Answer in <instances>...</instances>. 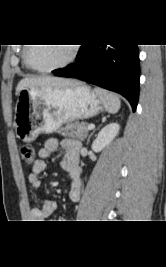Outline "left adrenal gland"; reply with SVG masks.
<instances>
[{
  "mask_svg": "<svg viewBox=\"0 0 166 267\" xmlns=\"http://www.w3.org/2000/svg\"><path fill=\"white\" fill-rule=\"evenodd\" d=\"M95 131H96V130H93V132L89 135V137H88V139H87V144L89 143V140H90L91 136L94 134Z\"/></svg>",
  "mask_w": 166,
  "mask_h": 267,
  "instance_id": "left-adrenal-gland-1",
  "label": "left adrenal gland"
}]
</instances>
